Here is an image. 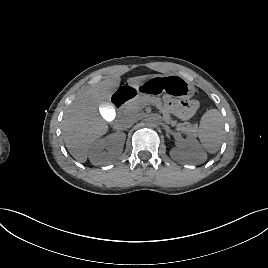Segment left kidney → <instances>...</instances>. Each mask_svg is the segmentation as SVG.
Returning a JSON list of instances; mask_svg holds the SVG:
<instances>
[{"mask_svg": "<svg viewBox=\"0 0 268 268\" xmlns=\"http://www.w3.org/2000/svg\"><path fill=\"white\" fill-rule=\"evenodd\" d=\"M170 156L174 160L193 164L202 163L207 159L199 142L191 136H188L178 147L171 149Z\"/></svg>", "mask_w": 268, "mask_h": 268, "instance_id": "obj_1", "label": "left kidney"}]
</instances>
